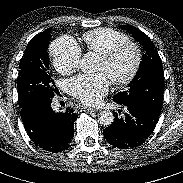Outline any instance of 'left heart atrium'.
Returning <instances> with one entry per match:
<instances>
[{"mask_svg":"<svg viewBox=\"0 0 183 183\" xmlns=\"http://www.w3.org/2000/svg\"><path fill=\"white\" fill-rule=\"evenodd\" d=\"M110 79L103 73L82 74L68 82V91L72 96L88 105L100 102L109 91Z\"/></svg>","mask_w":183,"mask_h":183,"instance_id":"obj_1","label":"left heart atrium"}]
</instances>
